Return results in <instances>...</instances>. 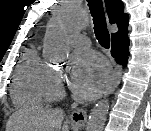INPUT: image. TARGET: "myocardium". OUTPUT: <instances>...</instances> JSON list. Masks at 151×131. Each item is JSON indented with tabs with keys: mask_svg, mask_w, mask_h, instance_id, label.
I'll return each instance as SVG.
<instances>
[{
	"mask_svg": "<svg viewBox=\"0 0 151 131\" xmlns=\"http://www.w3.org/2000/svg\"><path fill=\"white\" fill-rule=\"evenodd\" d=\"M46 97L48 99H56L63 95V88L57 77L51 76L45 87Z\"/></svg>",
	"mask_w": 151,
	"mask_h": 131,
	"instance_id": "1",
	"label": "myocardium"
}]
</instances>
